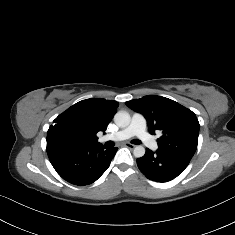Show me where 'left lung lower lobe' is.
<instances>
[{"instance_id":"left-lung-lower-lobe-1","label":"left lung lower lobe","mask_w":235,"mask_h":235,"mask_svg":"<svg viewBox=\"0 0 235 235\" xmlns=\"http://www.w3.org/2000/svg\"><path fill=\"white\" fill-rule=\"evenodd\" d=\"M190 159L157 150L152 152L146 149L143 157L137 159L140 171L150 180L156 182H167L180 175Z\"/></svg>"}]
</instances>
